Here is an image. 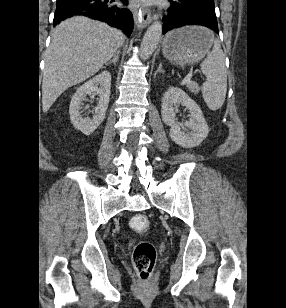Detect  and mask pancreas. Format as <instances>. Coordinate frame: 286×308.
Masks as SVG:
<instances>
[{"label":"pancreas","instance_id":"1","mask_svg":"<svg viewBox=\"0 0 286 308\" xmlns=\"http://www.w3.org/2000/svg\"><path fill=\"white\" fill-rule=\"evenodd\" d=\"M189 90L192 92V93H198V87L195 86V85H190L189 86Z\"/></svg>","mask_w":286,"mask_h":308}]
</instances>
